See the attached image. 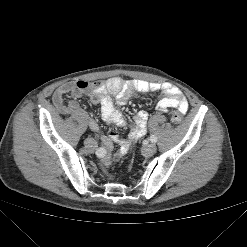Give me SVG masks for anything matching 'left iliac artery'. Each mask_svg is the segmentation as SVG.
<instances>
[{
    "label": "left iliac artery",
    "mask_w": 247,
    "mask_h": 247,
    "mask_svg": "<svg viewBox=\"0 0 247 247\" xmlns=\"http://www.w3.org/2000/svg\"><path fill=\"white\" fill-rule=\"evenodd\" d=\"M150 141H151L152 143H156V142H157V137H156L155 135H151V136H150Z\"/></svg>",
    "instance_id": "obj_1"
}]
</instances>
